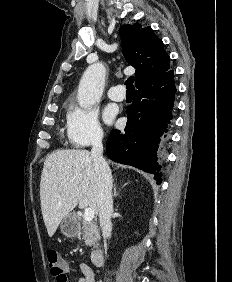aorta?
<instances>
[{"instance_id": "762f6f07", "label": "aorta", "mask_w": 232, "mask_h": 282, "mask_svg": "<svg viewBox=\"0 0 232 282\" xmlns=\"http://www.w3.org/2000/svg\"><path fill=\"white\" fill-rule=\"evenodd\" d=\"M106 70L102 63H95L85 70L78 86L77 100L82 108L97 103L103 93Z\"/></svg>"}]
</instances>
